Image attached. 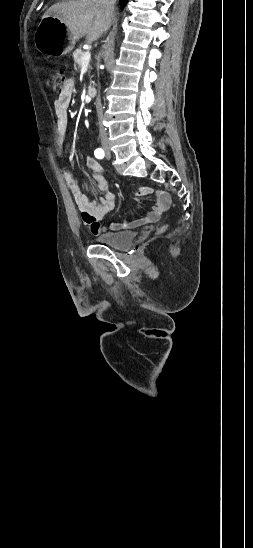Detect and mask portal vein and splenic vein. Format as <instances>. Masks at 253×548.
I'll list each match as a JSON object with an SVG mask.
<instances>
[{
    "mask_svg": "<svg viewBox=\"0 0 253 548\" xmlns=\"http://www.w3.org/2000/svg\"><path fill=\"white\" fill-rule=\"evenodd\" d=\"M91 54L89 51H86L82 57V66H87L90 62Z\"/></svg>",
    "mask_w": 253,
    "mask_h": 548,
    "instance_id": "portal-vein-and-splenic-vein-1",
    "label": "portal vein and splenic vein"
}]
</instances>
